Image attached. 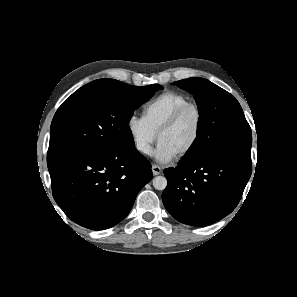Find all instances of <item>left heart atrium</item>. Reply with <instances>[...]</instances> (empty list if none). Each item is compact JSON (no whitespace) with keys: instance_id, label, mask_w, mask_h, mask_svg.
Here are the masks:
<instances>
[{"instance_id":"obj_1","label":"left heart atrium","mask_w":297,"mask_h":297,"mask_svg":"<svg viewBox=\"0 0 297 297\" xmlns=\"http://www.w3.org/2000/svg\"><path fill=\"white\" fill-rule=\"evenodd\" d=\"M154 156L158 162L168 163L172 161L177 154L165 143L159 141L155 149Z\"/></svg>"}]
</instances>
